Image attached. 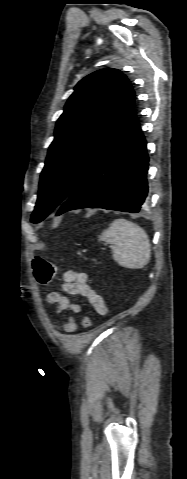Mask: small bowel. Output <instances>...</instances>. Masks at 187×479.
Instances as JSON below:
<instances>
[{
    "instance_id": "1",
    "label": "small bowel",
    "mask_w": 187,
    "mask_h": 479,
    "mask_svg": "<svg viewBox=\"0 0 187 479\" xmlns=\"http://www.w3.org/2000/svg\"><path fill=\"white\" fill-rule=\"evenodd\" d=\"M64 283L62 290L68 295L82 296L92 305L97 313L105 315L107 313L106 304L97 291L88 282V275L77 270H68L64 273ZM48 304L57 305L56 313L62 315L64 312H71L66 319L54 325V327L63 332H74L77 330V323L74 314L81 312V306L70 300L67 295L58 292H49L46 295Z\"/></svg>"
}]
</instances>
